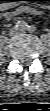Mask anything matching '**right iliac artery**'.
<instances>
[{
	"label": "right iliac artery",
	"instance_id": "1",
	"mask_svg": "<svg viewBox=\"0 0 50 111\" xmlns=\"http://www.w3.org/2000/svg\"><path fill=\"white\" fill-rule=\"evenodd\" d=\"M16 27L20 28V29H27L28 24L24 21H18L16 23Z\"/></svg>",
	"mask_w": 50,
	"mask_h": 111
}]
</instances>
